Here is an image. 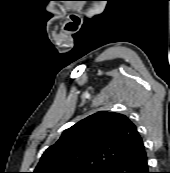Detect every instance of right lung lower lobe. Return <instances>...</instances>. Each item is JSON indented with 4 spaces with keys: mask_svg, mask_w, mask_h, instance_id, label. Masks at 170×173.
<instances>
[{
    "mask_svg": "<svg viewBox=\"0 0 170 173\" xmlns=\"http://www.w3.org/2000/svg\"><path fill=\"white\" fill-rule=\"evenodd\" d=\"M147 159L143 146L134 154L113 163L102 173H150Z\"/></svg>",
    "mask_w": 170,
    "mask_h": 173,
    "instance_id": "1",
    "label": "right lung lower lobe"
}]
</instances>
